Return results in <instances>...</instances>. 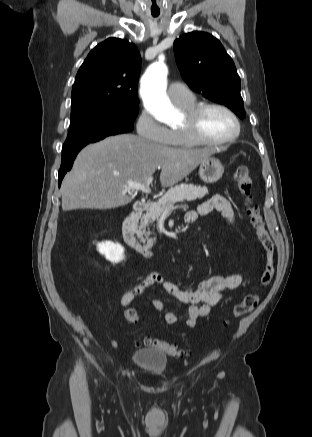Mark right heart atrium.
Instances as JSON below:
<instances>
[{
  "label": "right heart atrium",
  "instance_id": "1",
  "mask_svg": "<svg viewBox=\"0 0 312 437\" xmlns=\"http://www.w3.org/2000/svg\"><path fill=\"white\" fill-rule=\"evenodd\" d=\"M136 129L141 138L157 144H166L170 137V131L145 109L137 119Z\"/></svg>",
  "mask_w": 312,
  "mask_h": 437
}]
</instances>
